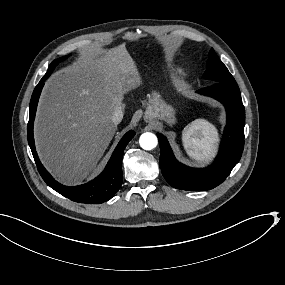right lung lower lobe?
<instances>
[{"mask_svg":"<svg viewBox=\"0 0 285 285\" xmlns=\"http://www.w3.org/2000/svg\"><path fill=\"white\" fill-rule=\"evenodd\" d=\"M44 86V80L41 79L39 84L35 87L30 101V114L27 127L28 143L31 148L35 163L38 171L48 186L67 197L68 199L87 204H99L112 198L119 190L123 175H122V157L126 145L134 137L135 132L129 131L124 135L115 151L113 152L104 171L94 180L87 184L68 187L61 185L53 179L48 171L41 164L37 152L35 150L34 137H33V123L38 104V99L41 90Z\"/></svg>","mask_w":285,"mask_h":285,"instance_id":"right-lung-lower-lobe-1","label":"right lung lower lobe"}]
</instances>
